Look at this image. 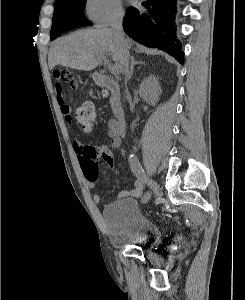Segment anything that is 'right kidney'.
I'll list each match as a JSON object with an SVG mask.
<instances>
[{
    "instance_id": "obj_1",
    "label": "right kidney",
    "mask_w": 245,
    "mask_h": 300,
    "mask_svg": "<svg viewBox=\"0 0 245 300\" xmlns=\"http://www.w3.org/2000/svg\"><path fill=\"white\" fill-rule=\"evenodd\" d=\"M160 85L158 79L154 75H150L144 79L139 86V95L148 104L155 105L160 96Z\"/></svg>"
}]
</instances>
